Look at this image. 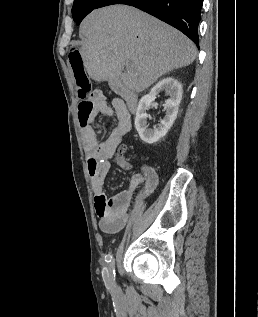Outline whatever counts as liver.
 Instances as JSON below:
<instances>
[{
  "instance_id": "liver-1",
  "label": "liver",
  "mask_w": 258,
  "mask_h": 317,
  "mask_svg": "<svg viewBox=\"0 0 258 317\" xmlns=\"http://www.w3.org/2000/svg\"><path fill=\"white\" fill-rule=\"evenodd\" d=\"M80 48L84 68L93 80L109 86L142 92L173 68L188 66L197 52L190 38L155 16L127 4L95 8L83 18ZM125 60L130 66L122 72Z\"/></svg>"
}]
</instances>
